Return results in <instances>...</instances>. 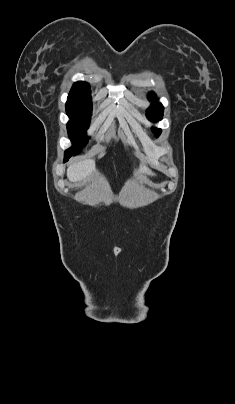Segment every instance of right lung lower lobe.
Returning <instances> with one entry per match:
<instances>
[{
  "mask_svg": "<svg viewBox=\"0 0 235 404\" xmlns=\"http://www.w3.org/2000/svg\"><path fill=\"white\" fill-rule=\"evenodd\" d=\"M69 158H70L69 156L65 157V158H64V161H65V162L68 161Z\"/></svg>",
  "mask_w": 235,
  "mask_h": 404,
  "instance_id": "right-lung-lower-lobe-1",
  "label": "right lung lower lobe"
}]
</instances>
